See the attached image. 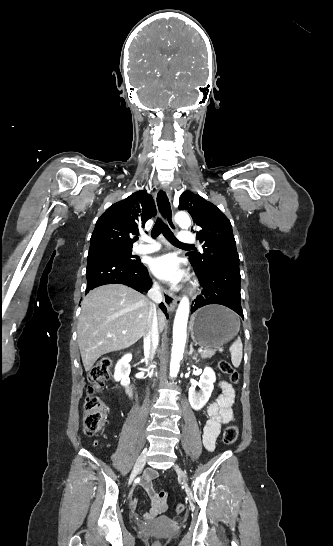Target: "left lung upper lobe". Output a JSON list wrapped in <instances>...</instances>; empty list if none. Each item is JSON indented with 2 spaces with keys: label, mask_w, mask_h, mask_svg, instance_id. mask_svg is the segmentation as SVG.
Here are the masks:
<instances>
[{
  "label": "left lung upper lobe",
  "mask_w": 333,
  "mask_h": 546,
  "mask_svg": "<svg viewBox=\"0 0 333 546\" xmlns=\"http://www.w3.org/2000/svg\"><path fill=\"white\" fill-rule=\"evenodd\" d=\"M178 208L190 213L197 228V238L203 245L202 253H188L198 274L207 275L216 269L239 267L231 223L214 204L185 191L180 196Z\"/></svg>",
  "instance_id": "left-lung-upper-lobe-1"
}]
</instances>
